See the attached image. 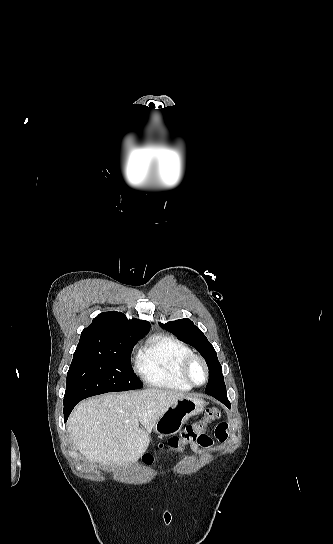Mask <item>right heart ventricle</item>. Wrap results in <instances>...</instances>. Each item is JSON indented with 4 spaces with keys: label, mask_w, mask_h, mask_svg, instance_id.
<instances>
[{
    "label": "right heart ventricle",
    "mask_w": 333,
    "mask_h": 544,
    "mask_svg": "<svg viewBox=\"0 0 333 544\" xmlns=\"http://www.w3.org/2000/svg\"><path fill=\"white\" fill-rule=\"evenodd\" d=\"M191 354L193 352L190 347L180 339L162 334L153 335L140 348L136 369L150 387L189 391L191 386L182 380L179 369L182 361Z\"/></svg>",
    "instance_id": "obj_1"
}]
</instances>
